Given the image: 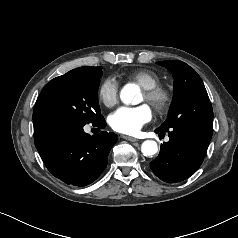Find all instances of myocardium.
Segmentation results:
<instances>
[{
	"instance_id": "obj_1",
	"label": "myocardium",
	"mask_w": 238,
	"mask_h": 238,
	"mask_svg": "<svg viewBox=\"0 0 238 238\" xmlns=\"http://www.w3.org/2000/svg\"><path fill=\"white\" fill-rule=\"evenodd\" d=\"M143 95L145 100L159 113L166 112L172 102L170 91L161 85L144 89Z\"/></svg>"
}]
</instances>
